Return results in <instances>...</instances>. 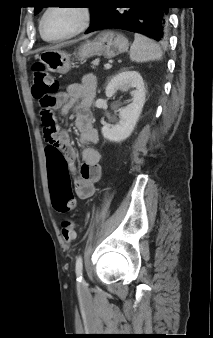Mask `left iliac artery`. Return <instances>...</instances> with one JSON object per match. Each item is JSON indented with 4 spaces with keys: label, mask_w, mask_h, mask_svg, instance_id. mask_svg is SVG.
<instances>
[{
    "label": "left iliac artery",
    "mask_w": 213,
    "mask_h": 338,
    "mask_svg": "<svg viewBox=\"0 0 213 338\" xmlns=\"http://www.w3.org/2000/svg\"><path fill=\"white\" fill-rule=\"evenodd\" d=\"M82 270H83L82 257L78 256L76 258V275H77V280L78 281L82 280Z\"/></svg>",
    "instance_id": "left-iliac-artery-1"
}]
</instances>
